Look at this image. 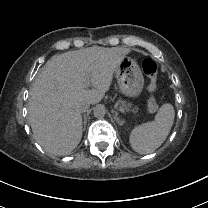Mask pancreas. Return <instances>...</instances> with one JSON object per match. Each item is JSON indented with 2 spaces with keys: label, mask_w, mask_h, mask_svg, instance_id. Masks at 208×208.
<instances>
[{
  "label": "pancreas",
  "mask_w": 208,
  "mask_h": 208,
  "mask_svg": "<svg viewBox=\"0 0 208 208\" xmlns=\"http://www.w3.org/2000/svg\"><path fill=\"white\" fill-rule=\"evenodd\" d=\"M119 102H120V105H121L122 108L126 109L127 111L130 110L131 104H128L126 101H123V100H120ZM137 109L138 108H135V109H133L131 111L136 112Z\"/></svg>",
  "instance_id": "pancreas-1"
}]
</instances>
